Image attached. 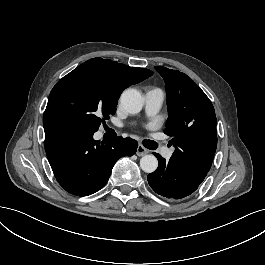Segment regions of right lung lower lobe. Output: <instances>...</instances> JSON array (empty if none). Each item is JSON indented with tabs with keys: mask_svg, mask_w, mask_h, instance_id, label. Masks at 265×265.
<instances>
[{
	"mask_svg": "<svg viewBox=\"0 0 265 265\" xmlns=\"http://www.w3.org/2000/svg\"><path fill=\"white\" fill-rule=\"evenodd\" d=\"M45 151L58 183L69 193L88 196L108 181L115 162L132 156L137 141L117 137L96 141L85 129L60 120L43 121Z\"/></svg>",
	"mask_w": 265,
	"mask_h": 265,
	"instance_id": "right-lung-lower-lobe-1",
	"label": "right lung lower lobe"
}]
</instances>
